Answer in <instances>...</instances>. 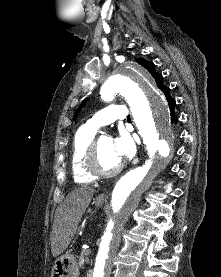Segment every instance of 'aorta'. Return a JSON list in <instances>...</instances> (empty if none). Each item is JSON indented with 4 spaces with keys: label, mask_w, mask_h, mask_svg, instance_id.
<instances>
[{
    "label": "aorta",
    "mask_w": 221,
    "mask_h": 277,
    "mask_svg": "<svg viewBox=\"0 0 221 277\" xmlns=\"http://www.w3.org/2000/svg\"><path fill=\"white\" fill-rule=\"evenodd\" d=\"M130 106L138 133L149 159L130 170L116 183L111 198L113 216L108 220L95 258L93 277H107L121 241V232L137 209L142 194L150 187L173 152V132L169 107L156 89L150 74L137 64H128L112 74L101 87V98L109 102L116 94ZM159 157L156 162L155 158Z\"/></svg>",
    "instance_id": "aorta-1"
}]
</instances>
